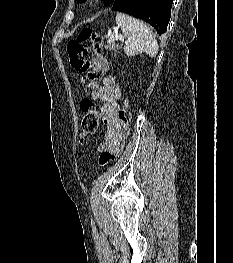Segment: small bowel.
Returning <instances> with one entry per match:
<instances>
[{
	"label": "small bowel",
	"mask_w": 233,
	"mask_h": 263,
	"mask_svg": "<svg viewBox=\"0 0 233 263\" xmlns=\"http://www.w3.org/2000/svg\"><path fill=\"white\" fill-rule=\"evenodd\" d=\"M92 63L95 70L102 74V80L101 83L96 80H90L85 85L95 97L102 101L103 121L107 125L102 137L100 150L103 152H114L121 147L124 141L122 123L118 116L121 91L116 79L107 74L108 62L102 54H93Z\"/></svg>",
	"instance_id": "c3829d8e"
}]
</instances>
